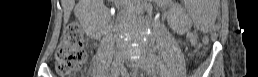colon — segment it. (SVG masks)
Wrapping results in <instances>:
<instances>
[{
	"label": "colon",
	"instance_id": "obj_1",
	"mask_svg": "<svg viewBox=\"0 0 258 77\" xmlns=\"http://www.w3.org/2000/svg\"><path fill=\"white\" fill-rule=\"evenodd\" d=\"M55 59L57 71L62 76H70L81 70L86 60V53L78 24H70L65 29Z\"/></svg>",
	"mask_w": 258,
	"mask_h": 77
}]
</instances>
